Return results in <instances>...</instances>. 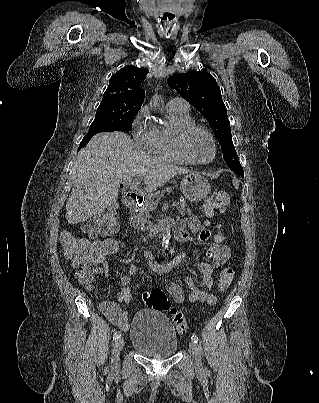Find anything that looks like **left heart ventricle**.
<instances>
[{
  "mask_svg": "<svg viewBox=\"0 0 319 403\" xmlns=\"http://www.w3.org/2000/svg\"><path fill=\"white\" fill-rule=\"evenodd\" d=\"M187 148L191 156L199 161L210 159L213 153L211 142L202 131H194L189 135Z\"/></svg>",
  "mask_w": 319,
  "mask_h": 403,
  "instance_id": "obj_1",
  "label": "left heart ventricle"
}]
</instances>
